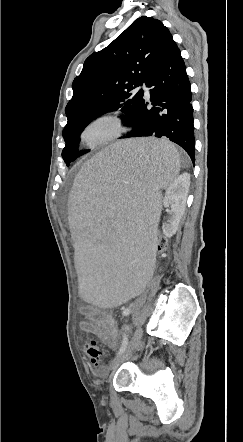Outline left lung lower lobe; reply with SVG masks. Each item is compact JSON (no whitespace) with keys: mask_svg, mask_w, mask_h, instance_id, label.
Segmentation results:
<instances>
[{"mask_svg":"<svg viewBox=\"0 0 243 442\" xmlns=\"http://www.w3.org/2000/svg\"><path fill=\"white\" fill-rule=\"evenodd\" d=\"M144 83L150 87V101L143 99L136 114L126 123L132 131L121 138H168L180 145L194 163L195 138L191 85L180 50L170 34Z\"/></svg>","mask_w":243,"mask_h":442,"instance_id":"left-lung-lower-lobe-1","label":"left lung lower lobe"}]
</instances>
